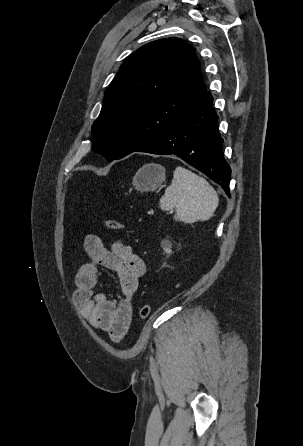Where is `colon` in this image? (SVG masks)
<instances>
[{"instance_id":"1","label":"colon","mask_w":303,"mask_h":446,"mask_svg":"<svg viewBox=\"0 0 303 446\" xmlns=\"http://www.w3.org/2000/svg\"><path fill=\"white\" fill-rule=\"evenodd\" d=\"M104 223L107 228L114 230V231H121L124 229V225L115 219L105 218ZM150 311H151V308L149 305H143L139 310V317L141 319L147 318L150 314Z\"/></svg>"}]
</instances>
